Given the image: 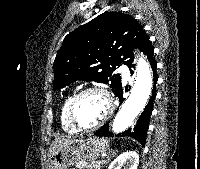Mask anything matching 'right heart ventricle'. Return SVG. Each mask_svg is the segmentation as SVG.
<instances>
[{
	"label": "right heart ventricle",
	"instance_id": "right-heart-ventricle-1",
	"mask_svg": "<svg viewBox=\"0 0 200 169\" xmlns=\"http://www.w3.org/2000/svg\"><path fill=\"white\" fill-rule=\"evenodd\" d=\"M74 92H68L62 99L61 108H60V123L62 129L67 133H76L78 132L71 124L68 116V106L74 96Z\"/></svg>",
	"mask_w": 200,
	"mask_h": 169
}]
</instances>
